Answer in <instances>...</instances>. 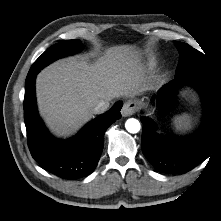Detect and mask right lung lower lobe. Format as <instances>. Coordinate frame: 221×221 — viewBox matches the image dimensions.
I'll return each mask as SVG.
<instances>
[{
  "label": "right lung lower lobe",
  "instance_id": "right-lung-lower-lobe-1",
  "mask_svg": "<svg viewBox=\"0 0 221 221\" xmlns=\"http://www.w3.org/2000/svg\"><path fill=\"white\" fill-rule=\"evenodd\" d=\"M35 77L27 75L24 120L32 157L47 171L63 179H78L91 174L99 161L106 129L121 117L122 103L88 123L75 137L54 138L40 119L35 99Z\"/></svg>",
  "mask_w": 221,
  "mask_h": 221
}]
</instances>
